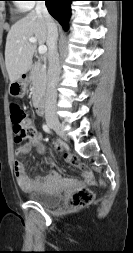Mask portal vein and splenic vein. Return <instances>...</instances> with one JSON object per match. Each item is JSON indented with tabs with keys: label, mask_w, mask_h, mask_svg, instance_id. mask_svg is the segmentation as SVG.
Returning <instances> with one entry per match:
<instances>
[{
	"label": "portal vein and splenic vein",
	"mask_w": 133,
	"mask_h": 253,
	"mask_svg": "<svg viewBox=\"0 0 133 253\" xmlns=\"http://www.w3.org/2000/svg\"><path fill=\"white\" fill-rule=\"evenodd\" d=\"M29 41L32 43H36L37 39L35 37H30ZM39 54L43 55L47 52V47L45 45H40L38 48Z\"/></svg>",
	"instance_id": "1"
}]
</instances>
